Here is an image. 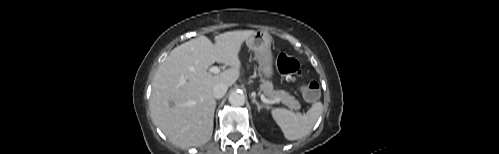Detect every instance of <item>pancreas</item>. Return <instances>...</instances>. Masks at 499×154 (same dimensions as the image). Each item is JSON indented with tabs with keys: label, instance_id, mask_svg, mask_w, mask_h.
Segmentation results:
<instances>
[{
	"label": "pancreas",
	"instance_id": "cf45deb5",
	"mask_svg": "<svg viewBox=\"0 0 499 154\" xmlns=\"http://www.w3.org/2000/svg\"><path fill=\"white\" fill-rule=\"evenodd\" d=\"M263 81L262 88L264 91V95L267 96L271 100H278L277 102H282L287 105L289 108L294 110L300 109V103L294 96H291L288 92L284 90H274L273 84L269 81Z\"/></svg>",
	"mask_w": 499,
	"mask_h": 154
}]
</instances>
